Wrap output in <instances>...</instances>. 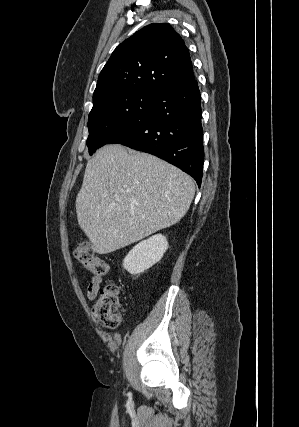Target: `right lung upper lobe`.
Masks as SVG:
<instances>
[{
    "instance_id": "1",
    "label": "right lung upper lobe",
    "mask_w": 299,
    "mask_h": 427,
    "mask_svg": "<svg viewBox=\"0 0 299 427\" xmlns=\"http://www.w3.org/2000/svg\"><path fill=\"white\" fill-rule=\"evenodd\" d=\"M192 80L191 58L180 35L170 24L153 23L113 51L99 75L93 103L124 92L154 97Z\"/></svg>"
}]
</instances>
